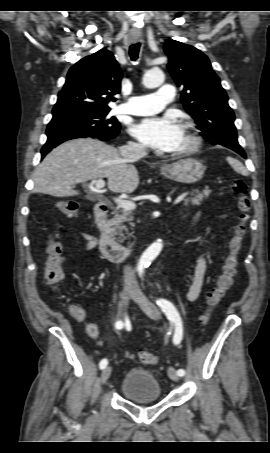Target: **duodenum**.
<instances>
[{
	"label": "duodenum",
	"instance_id": "410a0bca",
	"mask_svg": "<svg viewBox=\"0 0 270 453\" xmlns=\"http://www.w3.org/2000/svg\"><path fill=\"white\" fill-rule=\"evenodd\" d=\"M109 211L107 203H97L94 208V218L100 233L99 248L103 256L112 262H123L132 253L133 248L116 242L108 232L106 217Z\"/></svg>",
	"mask_w": 270,
	"mask_h": 453
}]
</instances>
